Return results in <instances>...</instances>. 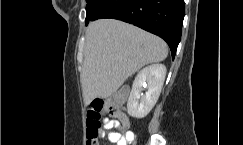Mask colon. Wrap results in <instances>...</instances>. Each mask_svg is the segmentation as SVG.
Returning <instances> with one entry per match:
<instances>
[{
	"label": "colon",
	"mask_w": 243,
	"mask_h": 145,
	"mask_svg": "<svg viewBox=\"0 0 243 145\" xmlns=\"http://www.w3.org/2000/svg\"><path fill=\"white\" fill-rule=\"evenodd\" d=\"M124 94H116L109 100L96 99L87 109V145H97V135L101 127L103 115L108 114L117 117L119 114L118 105L123 101ZM125 126L127 122L123 123Z\"/></svg>",
	"instance_id": "1"
}]
</instances>
